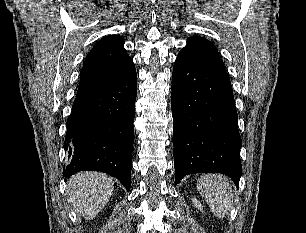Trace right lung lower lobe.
<instances>
[{"mask_svg": "<svg viewBox=\"0 0 306 233\" xmlns=\"http://www.w3.org/2000/svg\"><path fill=\"white\" fill-rule=\"evenodd\" d=\"M136 94L133 66L115 83L76 96L66 123L63 177L86 170L100 171L130 189Z\"/></svg>", "mask_w": 306, "mask_h": 233, "instance_id": "right-lung-lower-lobe-1", "label": "right lung lower lobe"}]
</instances>
